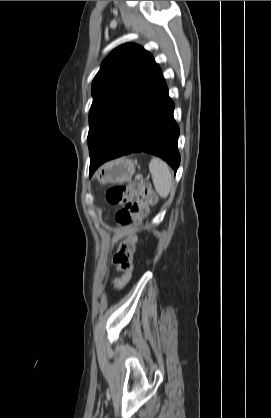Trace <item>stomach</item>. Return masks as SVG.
I'll use <instances>...</instances> for the list:
<instances>
[{"label":"stomach","instance_id":"obj_1","mask_svg":"<svg viewBox=\"0 0 271 418\" xmlns=\"http://www.w3.org/2000/svg\"><path fill=\"white\" fill-rule=\"evenodd\" d=\"M134 173V162L123 157L102 165L97 170L95 177L101 184H117L129 181Z\"/></svg>","mask_w":271,"mask_h":418}]
</instances>
